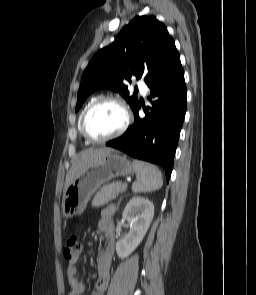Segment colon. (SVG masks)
I'll use <instances>...</instances> for the list:
<instances>
[{
	"mask_svg": "<svg viewBox=\"0 0 256 295\" xmlns=\"http://www.w3.org/2000/svg\"><path fill=\"white\" fill-rule=\"evenodd\" d=\"M82 245L76 234L70 235L65 241L64 257L67 260H73L80 254Z\"/></svg>",
	"mask_w": 256,
	"mask_h": 295,
	"instance_id": "obj_1",
	"label": "colon"
}]
</instances>
